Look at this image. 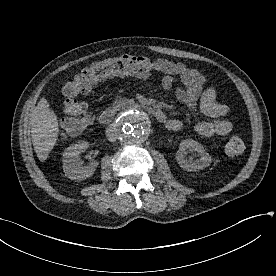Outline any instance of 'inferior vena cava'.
Returning <instances> with one entry per match:
<instances>
[{
    "mask_svg": "<svg viewBox=\"0 0 276 276\" xmlns=\"http://www.w3.org/2000/svg\"><path fill=\"white\" fill-rule=\"evenodd\" d=\"M106 136L109 141H116V139L118 138V133L117 128L114 124L108 126V128L106 129Z\"/></svg>",
    "mask_w": 276,
    "mask_h": 276,
    "instance_id": "inferior-vena-cava-1",
    "label": "inferior vena cava"
}]
</instances>
